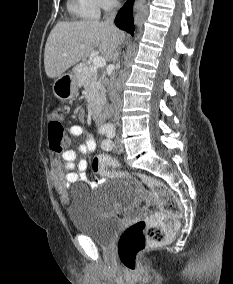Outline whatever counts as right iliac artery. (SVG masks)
<instances>
[{
    "label": "right iliac artery",
    "instance_id": "1",
    "mask_svg": "<svg viewBox=\"0 0 233 284\" xmlns=\"http://www.w3.org/2000/svg\"><path fill=\"white\" fill-rule=\"evenodd\" d=\"M106 130H107L106 127H103V128H100V129H99L100 133H103V132L106 131Z\"/></svg>",
    "mask_w": 233,
    "mask_h": 284
}]
</instances>
